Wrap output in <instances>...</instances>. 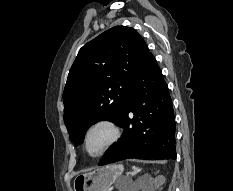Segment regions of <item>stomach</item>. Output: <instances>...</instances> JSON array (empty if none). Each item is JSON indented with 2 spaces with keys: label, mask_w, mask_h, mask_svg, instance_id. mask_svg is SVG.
<instances>
[{
  "label": "stomach",
  "mask_w": 233,
  "mask_h": 191,
  "mask_svg": "<svg viewBox=\"0 0 233 191\" xmlns=\"http://www.w3.org/2000/svg\"><path fill=\"white\" fill-rule=\"evenodd\" d=\"M122 172L123 167L117 164L95 168L74 179V191H109Z\"/></svg>",
  "instance_id": "0dacf381"
}]
</instances>
